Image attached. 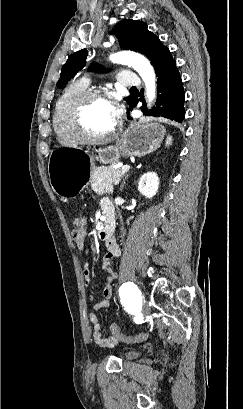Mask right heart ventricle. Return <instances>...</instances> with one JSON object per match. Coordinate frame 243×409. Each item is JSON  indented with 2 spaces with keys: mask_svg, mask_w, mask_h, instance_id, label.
<instances>
[{
  "mask_svg": "<svg viewBox=\"0 0 243 409\" xmlns=\"http://www.w3.org/2000/svg\"><path fill=\"white\" fill-rule=\"evenodd\" d=\"M88 84L84 80H76L68 84L57 97L52 115V126L60 144L72 146L80 142L68 127L66 110L70 100L78 93L86 90Z\"/></svg>",
  "mask_w": 243,
  "mask_h": 409,
  "instance_id": "e07e8e85",
  "label": "right heart ventricle"
}]
</instances>
